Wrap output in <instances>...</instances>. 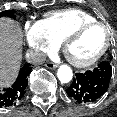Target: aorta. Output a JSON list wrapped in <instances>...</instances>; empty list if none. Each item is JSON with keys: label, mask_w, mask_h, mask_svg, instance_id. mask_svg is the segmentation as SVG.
Segmentation results:
<instances>
[{"label": "aorta", "mask_w": 117, "mask_h": 117, "mask_svg": "<svg viewBox=\"0 0 117 117\" xmlns=\"http://www.w3.org/2000/svg\"><path fill=\"white\" fill-rule=\"evenodd\" d=\"M58 79L61 83H68L72 80V69L67 65H62L57 71Z\"/></svg>", "instance_id": "aorta-1"}]
</instances>
